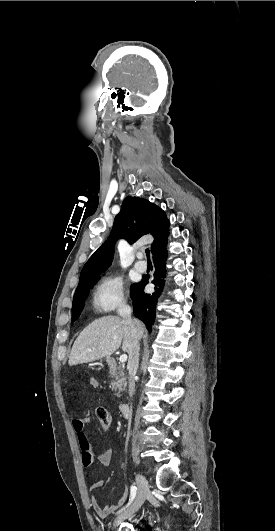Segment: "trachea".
I'll list each match as a JSON object with an SVG mask.
<instances>
[{
    "instance_id": "obj_1",
    "label": "trachea",
    "mask_w": 275,
    "mask_h": 531,
    "mask_svg": "<svg viewBox=\"0 0 275 531\" xmlns=\"http://www.w3.org/2000/svg\"><path fill=\"white\" fill-rule=\"evenodd\" d=\"M145 253H146V255H147V260H150V257H149V249H146V250H145Z\"/></svg>"
}]
</instances>
